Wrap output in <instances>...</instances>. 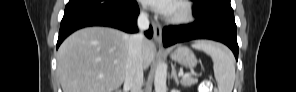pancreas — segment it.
<instances>
[{"label": "pancreas", "mask_w": 296, "mask_h": 92, "mask_svg": "<svg viewBox=\"0 0 296 92\" xmlns=\"http://www.w3.org/2000/svg\"><path fill=\"white\" fill-rule=\"evenodd\" d=\"M198 82V79L197 78H194V77H183L181 79V85H183L184 87H190L194 84H196Z\"/></svg>", "instance_id": "pancreas-1"}]
</instances>
